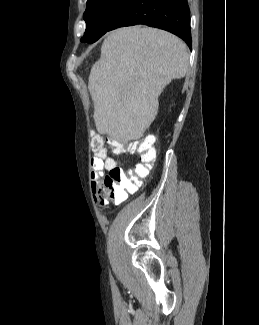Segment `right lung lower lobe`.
Listing matches in <instances>:
<instances>
[{"label":"right lung lower lobe","instance_id":"obj_1","mask_svg":"<svg viewBox=\"0 0 259 325\" xmlns=\"http://www.w3.org/2000/svg\"><path fill=\"white\" fill-rule=\"evenodd\" d=\"M136 24L164 29L191 46L190 10L187 0H129L108 31Z\"/></svg>","mask_w":259,"mask_h":325}]
</instances>
